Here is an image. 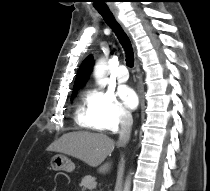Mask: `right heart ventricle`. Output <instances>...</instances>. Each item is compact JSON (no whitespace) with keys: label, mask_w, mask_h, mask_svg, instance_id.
Listing matches in <instances>:
<instances>
[{"label":"right heart ventricle","mask_w":210,"mask_h":191,"mask_svg":"<svg viewBox=\"0 0 210 191\" xmlns=\"http://www.w3.org/2000/svg\"><path fill=\"white\" fill-rule=\"evenodd\" d=\"M77 122L80 126L94 130H102L95 119L87 98L79 104L76 111Z\"/></svg>","instance_id":"obj_1"}]
</instances>
